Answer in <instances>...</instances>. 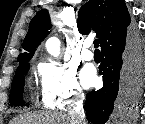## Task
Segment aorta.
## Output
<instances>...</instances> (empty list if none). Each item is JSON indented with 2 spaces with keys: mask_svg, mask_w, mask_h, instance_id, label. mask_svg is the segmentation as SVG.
I'll return each instance as SVG.
<instances>
[{
  "mask_svg": "<svg viewBox=\"0 0 145 124\" xmlns=\"http://www.w3.org/2000/svg\"><path fill=\"white\" fill-rule=\"evenodd\" d=\"M46 49L49 54L57 57L60 54V40L56 37H51L46 41Z\"/></svg>",
  "mask_w": 145,
  "mask_h": 124,
  "instance_id": "1",
  "label": "aorta"
}]
</instances>
